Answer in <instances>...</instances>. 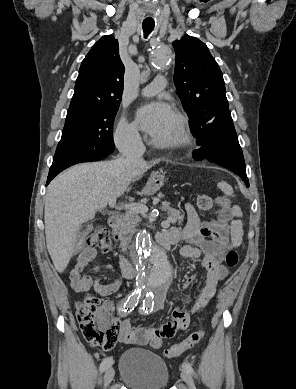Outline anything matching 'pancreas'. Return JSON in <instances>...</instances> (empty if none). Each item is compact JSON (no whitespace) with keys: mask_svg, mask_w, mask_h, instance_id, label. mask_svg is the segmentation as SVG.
<instances>
[{"mask_svg":"<svg viewBox=\"0 0 296 389\" xmlns=\"http://www.w3.org/2000/svg\"><path fill=\"white\" fill-rule=\"evenodd\" d=\"M160 208L161 210L167 212V219L170 223H177L178 225L182 224L184 216L179 210L171 207L167 202H162ZM140 222L141 217L136 211L129 210L122 217L117 229L114 231V234L119 237V240L121 241L120 246L123 251L127 250L128 244L130 243L133 234L136 232V227Z\"/></svg>","mask_w":296,"mask_h":389,"instance_id":"cf45deb5","label":"pancreas"}]
</instances>
